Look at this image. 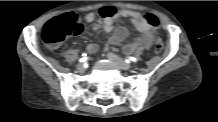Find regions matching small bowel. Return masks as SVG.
Listing matches in <instances>:
<instances>
[{
	"label": "small bowel",
	"instance_id": "c3829d8e",
	"mask_svg": "<svg viewBox=\"0 0 218 122\" xmlns=\"http://www.w3.org/2000/svg\"><path fill=\"white\" fill-rule=\"evenodd\" d=\"M122 18L129 19L140 32V36L125 46V51L133 53L142 48H151L157 39V30L155 26L148 22L146 16L141 13L127 9L117 10L113 6H104L100 8L98 12H89L85 15L86 22L92 24L93 30L103 28L107 33L113 32L109 39V45L119 44L128 35V31L125 27L114 29V22ZM86 51L89 54H95L98 51V46L94 43L88 44Z\"/></svg>",
	"mask_w": 218,
	"mask_h": 122
}]
</instances>
